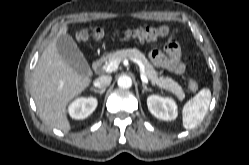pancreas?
Segmentation results:
<instances>
[{"instance_id":"pancreas-1","label":"pancreas","mask_w":249,"mask_h":165,"mask_svg":"<svg viewBox=\"0 0 249 165\" xmlns=\"http://www.w3.org/2000/svg\"><path fill=\"white\" fill-rule=\"evenodd\" d=\"M127 57L134 58L143 65L145 75L152 84H156L160 88L172 92L180 101L185 98L182 87L170 77L158 76V72L154 69L153 65L148 61L145 55L136 48L118 50L110 54L105 66L112 61H122Z\"/></svg>"}]
</instances>
